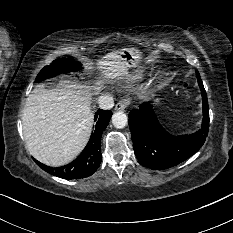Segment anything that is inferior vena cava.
I'll use <instances>...</instances> for the list:
<instances>
[{"mask_svg": "<svg viewBox=\"0 0 233 233\" xmlns=\"http://www.w3.org/2000/svg\"><path fill=\"white\" fill-rule=\"evenodd\" d=\"M98 105L103 110H109L114 106V100L110 95H101L98 99Z\"/></svg>", "mask_w": 233, "mask_h": 233, "instance_id": "602c4592", "label": "inferior vena cava"}]
</instances>
